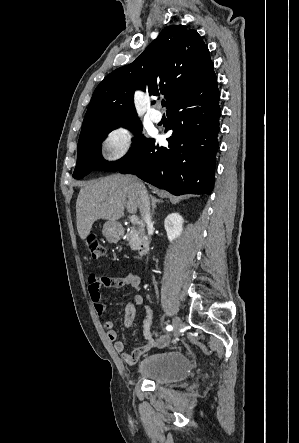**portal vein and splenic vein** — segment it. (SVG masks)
Wrapping results in <instances>:
<instances>
[{
  "label": "portal vein and splenic vein",
  "instance_id": "obj_1",
  "mask_svg": "<svg viewBox=\"0 0 299 443\" xmlns=\"http://www.w3.org/2000/svg\"><path fill=\"white\" fill-rule=\"evenodd\" d=\"M130 221H131L132 224H138L139 223L138 217L136 215H132L130 217Z\"/></svg>",
  "mask_w": 299,
  "mask_h": 443
}]
</instances>
